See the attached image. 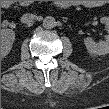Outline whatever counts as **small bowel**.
<instances>
[{"label": "small bowel", "mask_w": 109, "mask_h": 109, "mask_svg": "<svg viewBox=\"0 0 109 109\" xmlns=\"http://www.w3.org/2000/svg\"><path fill=\"white\" fill-rule=\"evenodd\" d=\"M82 5H85V6H97V5H99V2L90 1V2L82 3Z\"/></svg>", "instance_id": "small-bowel-1"}]
</instances>
